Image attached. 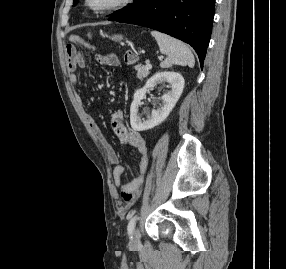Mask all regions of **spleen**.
<instances>
[{
  "label": "spleen",
  "mask_w": 286,
  "mask_h": 269,
  "mask_svg": "<svg viewBox=\"0 0 286 269\" xmlns=\"http://www.w3.org/2000/svg\"><path fill=\"white\" fill-rule=\"evenodd\" d=\"M151 35L156 39L161 53L167 56L161 62V68H169L174 64L194 67V56L185 43L158 31H151Z\"/></svg>",
  "instance_id": "3e777b00"
}]
</instances>
